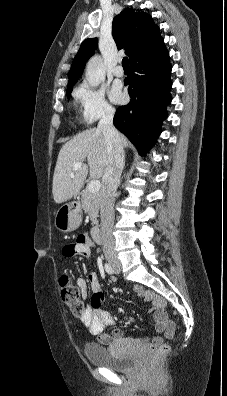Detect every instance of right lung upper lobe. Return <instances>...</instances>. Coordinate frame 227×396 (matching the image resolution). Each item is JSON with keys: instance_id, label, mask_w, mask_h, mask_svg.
Returning a JSON list of instances; mask_svg holds the SVG:
<instances>
[{"instance_id": "1", "label": "right lung upper lobe", "mask_w": 227, "mask_h": 396, "mask_svg": "<svg viewBox=\"0 0 227 396\" xmlns=\"http://www.w3.org/2000/svg\"><path fill=\"white\" fill-rule=\"evenodd\" d=\"M112 35L117 48H124L130 61L144 49L162 40L159 27L154 24L151 15L132 8H126L114 17ZM97 44V38L86 39L81 44L69 71L67 91L72 89L79 79L86 61L94 54Z\"/></svg>"}]
</instances>
